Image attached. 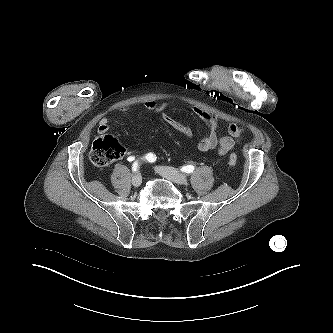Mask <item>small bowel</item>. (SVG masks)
I'll use <instances>...</instances> for the list:
<instances>
[{"label": "small bowel", "mask_w": 333, "mask_h": 333, "mask_svg": "<svg viewBox=\"0 0 333 333\" xmlns=\"http://www.w3.org/2000/svg\"><path fill=\"white\" fill-rule=\"evenodd\" d=\"M144 107L154 112L156 115L161 116L167 124L186 138H192V130L168 114L169 103L150 100L144 103ZM127 109V107L121 108L122 111H126ZM193 112L208 127V133L198 143V149L201 152H208L218 147V154L224 156L228 154L245 135V129L242 126L232 123L227 127L228 135L219 136L217 132L218 121L214 115L198 107H194ZM109 128V118H101L97 129L98 134H106Z\"/></svg>", "instance_id": "obj_1"}]
</instances>
